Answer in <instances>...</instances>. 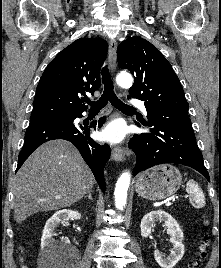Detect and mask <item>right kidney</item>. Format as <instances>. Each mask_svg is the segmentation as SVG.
<instances>
[{
	"instance_id": "1",
	"label": "right kidney",
	"mask_w": 221,
	"mask_h": 268,
	"mask_svg": "<svg viewBox=\"0 0 221 268\" xmlns=\"http://www.w3.org/2000/svg\"><path fill=\"white\" fill-rule=\"evenodd\" d=\"M69 219H76V220L81 219V214L78 211L65 209L57 211L51 218L47 220L41 238V247L43 249H47L50 251L53 248L54 240L52 236L55 233V228L59 224L66 223V221H68ZM61 242L64 244L70 243L67 237H63L61 239Z\"/></svg>"
}]
</instances>
